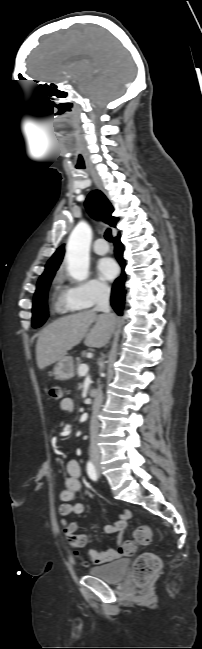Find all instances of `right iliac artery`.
Here are the masks:
<instances>
[{"instance_id": "1", "label": "right iliac artery", "mask_w": 202, "mask_h": 649, "mask_svg": "<svg viewBox=\"0 0 202 649\" xmlns=\"http://www.w3.org/2000/svg\"><path fill=\"white\" fill-rule=\"evenodd\" d=\"M87 473H88V476H89L93 481H97V473H96V469H95V466L92 464V462H88V463H87Z\"/></svg>"}]
</instances>
